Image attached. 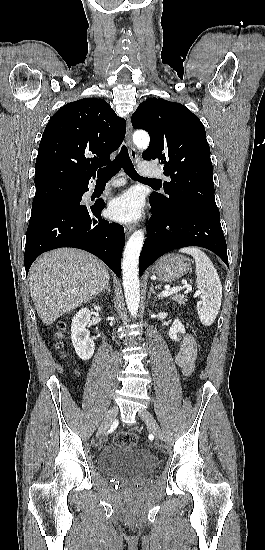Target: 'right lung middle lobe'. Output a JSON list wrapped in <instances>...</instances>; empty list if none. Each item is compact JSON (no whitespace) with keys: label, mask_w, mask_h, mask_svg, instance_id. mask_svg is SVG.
Masks as SVG:
<instances>
[{"label":"right lung middle lobe","mask_w":265,"mask_h":550,"mask_svg":"<svg viewBox=\"0 0 265 550\" xmlns=\"http://www.w3.org/2000/svg\"><path fill=\"white\" fill-rule=\"evenodd\" d=\"M81 198V190L64 185H46L36 188L32 211L63 203H73Z\"/></svg>","instance_id":"obj_1"}]
</instances>
